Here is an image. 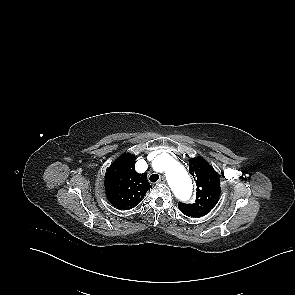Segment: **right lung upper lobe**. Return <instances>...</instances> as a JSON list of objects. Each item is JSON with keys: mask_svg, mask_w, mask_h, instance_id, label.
Masks as SVG:
<instances>
[{"mask_svg": "<svg viewBox=\"0 0 295 295\" xmlns=\"http://www.w3.org/2000/svg\"><path fill=\"white\" fill-rule=\"evenodd\" d=\"M134 155L120 156L108 168L105 175V190L110 203L123 210L131 209L142 201L145 193L152 188L146 174L135 171Z\"/></svg>", "mask_w": 295, "mask_h": 295, "instance_id": "1", "label": "right lung upper lobe"}]
</instances>
